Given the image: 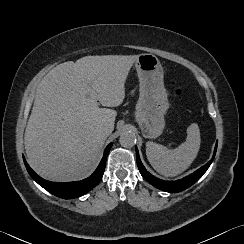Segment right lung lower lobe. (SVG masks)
<instances>
[{
  "instance_id": "98d812e1",
  "label": "right lung lower lobe",
  "mask_w": 244,
  "mask_h": 244,
  "mask_svg": "<svg viewBox=\"0 0 244 244\" xmlns=\"http://www.w3.org/2000/svg\"><path fill=\"white\" fill-rule=\"evenodd\" d=\"M113 143H110L105 151L102 160L100 161L99 166L97 167L96 171L88 178L75 181V182H68V183H55L50 182L42 179L38 176L27 164L26 160H24V164L30 176L44 189L49 191L50 193L54 194L63 199H72L80 197L94 188L102 179L103 173L106 166V158L107 155L112 147Z\"/></svg>"
}]
</instances>
